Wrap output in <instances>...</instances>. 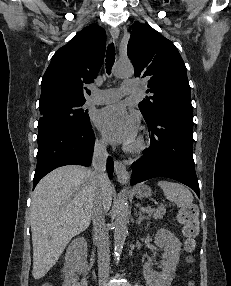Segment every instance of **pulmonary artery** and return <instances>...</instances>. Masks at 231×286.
Returning a JSON list of instances; mask_svg holds the SVG:
<instances>
[{
  "instance_id": "e3ab8cb5",
  "label": "pulmonary artery",
  "mask_w": 231,
  "mask_h": 286,
  "mask_svg": "<svg viewBox=\"0 0 231 286\" xmlns=\"http://www.w3.org/2000/svg\"><path fill=\"white\" fill-rule=\"evenodd\" d=\"M139 90L137 80L129 79L122 83L120 88L93 89V95L89 99V104L101 105L119 100L124 94H135Z\"/></svg>"
}]
</instances>
